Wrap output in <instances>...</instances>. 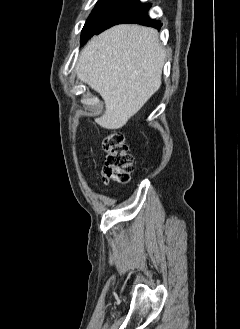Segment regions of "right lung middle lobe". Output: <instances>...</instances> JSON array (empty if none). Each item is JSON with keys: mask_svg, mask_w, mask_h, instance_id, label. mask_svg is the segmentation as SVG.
<instances>
[{"mask_svg": "<svg viewBox=\"0 0 240 329\" xmlns=\"http://www.w3.org/2000/svg\"><path fill=\"white\" fill-rule=\"evenodd\" d=\"M121 0H99L87 19L81 35V43H85L95 32L98 25Z\"/></svg>", "mask_w": 240, "mask_h": 329, "instance_id": "right-lung-middle-lobe-1", "label": "right lung middle lobe"}]
</instances>
